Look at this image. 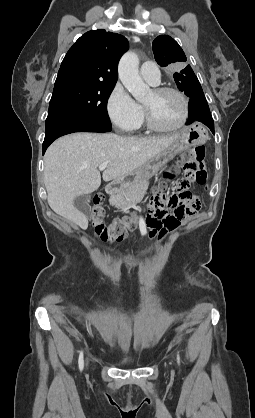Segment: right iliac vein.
<instances>
[{
	"mask_svg": "<svg viewBox=\"0 0 255 418\" xmlns=\"http://www.w3.org/2000/svg\"><path fill=\"white\" fill-rule=\"evenodd\" d=\"M86 362H87V365H88V362H89V358H87Z\"/></svg>",
	"mask_w": 255,
	"mask_h": 418,
	"instance_id": "1",
	"label": "right iliac vein"
}]
</instances>
